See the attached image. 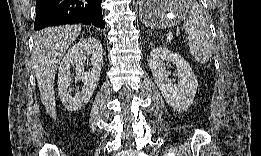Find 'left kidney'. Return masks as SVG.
I'll use <instances>...</instances> for the list:
<instances>
[{
  "label": "left kidney",
  "mask_w": 261,
  "mask_h": 156,
  "mask_svg": "<svg viewBox=\"0 0 261 156\" xmlns=\"http://www.w3.org/2000/svg\"><path fill=\"white\" fill-rule=\"evenodd\" d=\"M166 62L176 65L174 76L178 77V84L169 78L170 72L164 67ZM149 67L165 101L178 111L186 110L192 104L198 87L189 63L166 48H155L150 53Z\"/></svg>",
  "instance_id": "5707ae66"
}]
</instances>
